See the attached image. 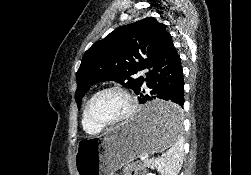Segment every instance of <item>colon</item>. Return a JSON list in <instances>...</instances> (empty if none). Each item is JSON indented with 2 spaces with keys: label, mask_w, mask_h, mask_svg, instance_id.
<instances>
[{
  "label": "colon",
  "mask_w": 251,
  "mask_h": 175,
  "mask_svg": "<svg viewBox=\"0 0 251 175\" xmlns=\"http://www.w3.org/2000/svg\"><path fill=\"white\" fill-rule=\"evenodd\" d=\"M123 175H145V168L140 161H129L123 166Z\"/></svg>",
  "instance_id": "obj_1"
}]
</instances>
